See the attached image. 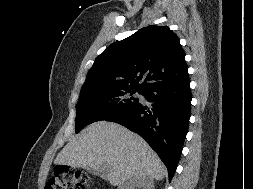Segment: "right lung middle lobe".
Segmentation results:
<instances>
[{"label": "right lung middle lobe", "mask_w": 253, "mask_h": 189, "mask_svg": "<svg viewBox=\"0 0 253 189\" xmlns=\"http://www.w3.org/2000/svg\"><path fill=\"white\" fill-rule=\"evenodd\" d=\"M143 91L126 86H106L80 93L76 105L75 132L93 122L106 120L133 108L139 102L134 93Z\"/></svg>", "instance_id": "obj_1"}]
</instances>
